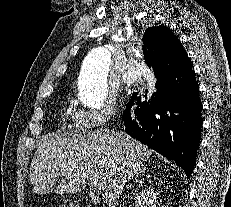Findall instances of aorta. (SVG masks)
<instances>
[{
    "mask_svg": "<svg viewBox=\"0 0 231 207\" xmlns=\"http://www.w3.org/2000/svg\"><path fill=\"white\" fill-rule=\"evenodd\" d=\"M111 54L106 47L93 48L85 57L78 78V97L88 108H100L108 96L107 77Z\"/></svg>",
    "mask_w": 231,
    "mask_h": 207,
    "instance_id": "obj_1",
    "label": "aorta"
}]
</instances>
